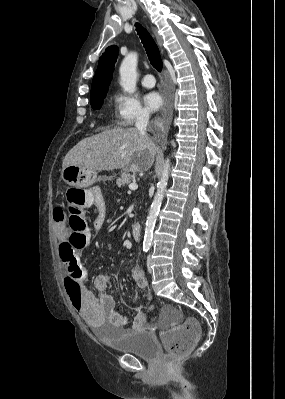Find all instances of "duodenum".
<instances>
[{
  "mask_svg": "<svg viewBox=\"0 0 285 399\" xmlns=\"http://www.w3.org/2000/svg\"><path fill=\"white\" fill-rule=\"evenodd\" d=\"M132 236L136 242H140L142 239V228L140 224L135 223L132 226Z\"/></svg>",
  "mask_w": 285,
  "mask_h": 399,
  "instance_id": "obj_1",
  "label": "duodenum"
}]
</instances>
